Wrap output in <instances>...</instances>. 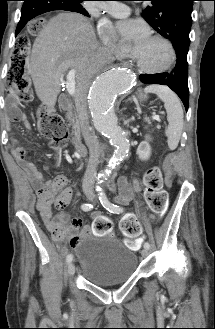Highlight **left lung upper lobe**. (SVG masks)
Instances as JSON below:
<instances>
[{
    "mask_svg": "<svg viewBox=\"0 0 215 329\" xmlns=\"http://www.w3.org/2000/svg\"><path fill=\"white\" fill-rule=\"evenodd\" d=\"M143 18L163 37L169 39L174 48H189L193 1L195 0H148Z\"/></svg>",
    "mask_w": 215,
    "mask_h": 329,
    "instance_id": "1",
    "label": "left lung upper lobe"
}]
</instances>
